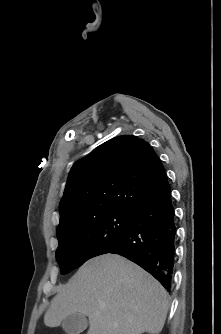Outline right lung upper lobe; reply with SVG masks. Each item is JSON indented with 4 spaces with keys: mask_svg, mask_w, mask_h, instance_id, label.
Segmentation results:
<instances>
[{
    "mask_svg": "<svg viewBox=\"0 0 221 334\" xmlns=\"http://www.w3.org/2000/svg\"><path fill=\"white\" fill-rule=\"evenodd\" d=\"M167 183L153 148L133 135L113 138L76 161L60 202V237L75 224L110 212L133 213Z\"/></svg>",
    "mask_w": 221,
    "mask_h": 334,
    "instance_id": "1",
    "label": "right lung upper lobe"
}]
</instances>
